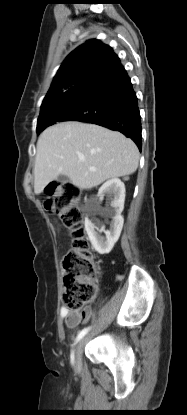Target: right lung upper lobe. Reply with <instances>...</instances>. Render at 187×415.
I'll use <instances>...</instances> for the list:
<instances>
[{
    "label": "right lung upper lobe",
    "mask_w": 187,
    "mask_h": 415,
    "mask_svg": "<svg viewBox=\"0 0 187 415\" xmlns=\"http://www.w3.org/2000/svg\"><path fill=\"white\" fill-rule=\"evenodd\" d=\"M117 58L112 48L99 40L92 39L82 44L60 66L41 108L45 109L64 98L65 92Z\"/></svg>",
    "instance_id": "obj_1"
}]
</instances>
